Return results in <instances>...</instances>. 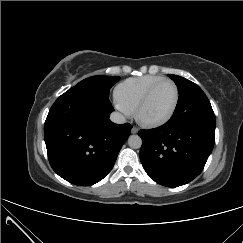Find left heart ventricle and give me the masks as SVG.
Returning a JSON list of instances; mask_svg holds the SVG:
<instances>
[{
    "instance_id": "1",
    "label": "left heart ventricle",
    "mask_w": 243,
    "mask_h": 243,
    "mask_svg": "<svg viewBox=\"0 0 243 243\" xmlns=\"http://www.w3.org/2000/svg\"><path fill=\"white\" fill-rule=\"evenodd\" d=\"M175 100V90L170 83L159 86L152 94L141 112V117L147 121H156L169 114Z\"/></svg>"
}]
</instances>
